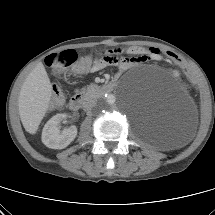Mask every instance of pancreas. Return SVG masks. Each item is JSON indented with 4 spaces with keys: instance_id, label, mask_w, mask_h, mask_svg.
Listing matches in <instances>:
<instances>
[{
    "instance_id": "obj_1",
    "label": "pancreas",
    "mask_w": 215,
    "mask_h": 215,
    "mask_svg": "<svg viewBox=\"0 0 215 215\" xmlns=\"http://www.w3.org/2000/svg\"><path fill=\"white\" fill-rule=\"evenodd\" d=\"M97 88H98V86L96 84H91V85H88L87 87L82 88L81 93L90 94V93L94 92Z\"/></svg>"
}]
</instances>
